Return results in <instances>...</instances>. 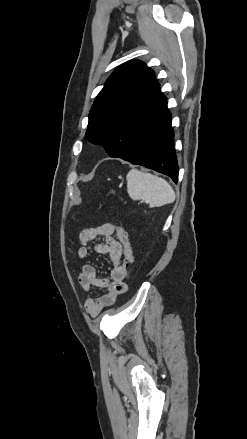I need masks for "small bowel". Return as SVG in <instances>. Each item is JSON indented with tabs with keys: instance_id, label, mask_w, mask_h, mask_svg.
I'll list each match as a JSON object with an SVG mask.
<instances>
[{
	"instance_id": "small-bowel-1",
	"label": "small bowel",
	"mask_w": 247,
	"mask_h": 439,
	"mask_svg": "<svg viewBox=\"0 0 247 439\" xmlns=\"http://www.w3.org/2000/svg\"><path fill=\"white\" fill-rule=\"evenodd\" d=\"M98 238L103 241L91 247L89 242ZM91 250L107 255L112 264L110 278L99 277L95 267L91 264L84 265L78 275V281L85 291L89 292L94 287L106 290L99 297L87 298L85 301L86 311L91 316H96L105 307L114 304L118 296L127 291L126 280L129 276V270L124 263L123 247L113 237V231L109 228L108 223L96 228L84 229L80 233L79 258L86 259Z\"/></svg>"
}]
</instances>
